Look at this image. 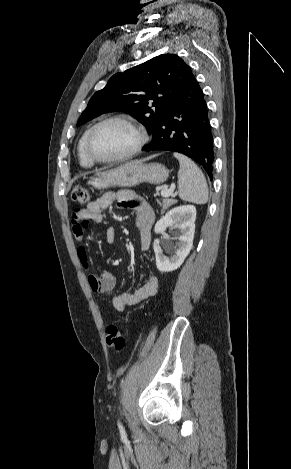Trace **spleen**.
I'll return each instance as SVG.
<instances>
[{
	"mask_svg": "<svg viewBox=\"0 0 291 469\" xmlns=\"http://www.w3.org/2000/svg\"><path fill=\"white\" fill-rule=\"evenodd\" d=\"M179 160L178 192L179 197L195 204H205L208 201V186L204 174L188 157L174 153Z\"/></svg>",
	"mask_w": 291,
	"mask_h": 469,
	"instance_id": "3e777b00",
	"label": "spleen"
}]
</instances>
